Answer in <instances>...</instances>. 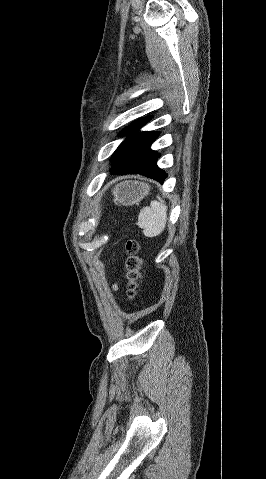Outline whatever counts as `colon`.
I'll use <instances>...</instances> for the list:
<instances>
[{"label": "colon", "mask_w": 266, "mask_h": 479, "mask_svg": "<svg viewBox=\"0 0 266 479\" xmlns=\"http://www.w3.org/2000/svg\"><path fill=\"white\" fill-rule=\"evenodd\" d=\"M141 245L137 240L130 239L126 243L127 257L125 259L126 293L130 299H134L140 289L143 277V259L141 257Z\"/></svg>", "instance_id": "1"}]
</instances>
